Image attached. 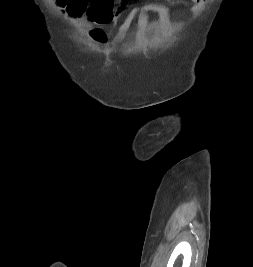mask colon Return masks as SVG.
<instances>
[{
    "label": "colon",
    "instance_id": "1",
    "mask_svg": "<svg viewBox=\"0 0 253 267\" xmlns=\"http://www.w3.org/2000/svg\"><path fill=\"white\" fill-rule=\"evenodd\" d=\"M57 2L59 3V5L63 6L67 4L69 1L68 0H57ZM91 36L98 43H103L107 39L106 33L101 28H94L91 31Z\"/></svg>",
    "mask_w": 253,
    "mask_h": 267
}]
</instances>
